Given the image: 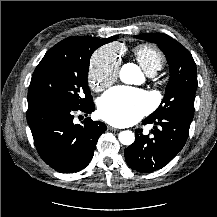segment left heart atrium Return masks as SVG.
I'll return each instance as SVG.
<instances>
[{
  "label": "left heart atrium",
  "instance_id": "1",
  "mask_svg": "<svg viewBox=\"0 0 217 217\" xmlns=\"http://www.w3.org/2000/svg\"><path fill=\"white\" fill-rule=\"evenodd\" d=\"M151 100L147 92L126 86L107 91L100 99L98 111L106 122L127 126L138 121L149 110Z\"/></svg>",
  "mask_w": 217,
  "mask_h": 217
}]
</instances>
